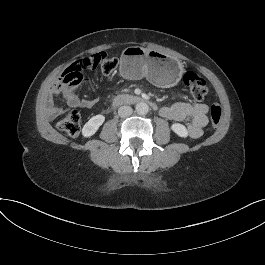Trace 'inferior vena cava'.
Here are the masks:
<instances>
[{"label": "inferior vena cava", "instance_id": "602c4592", "mask_svg": "<svg viewBox=\"0 0 265 265\" xmlns=\"http://www.w3.org/2000/svg\"><path fill=\"white\" fill-rule=\"evenodd\" d=\"M133 113V109L130 106H121L118 109V114L120 117H126Z\"/></svg>", "mask_w": 265, "mask_h": 265}]
</instances>
